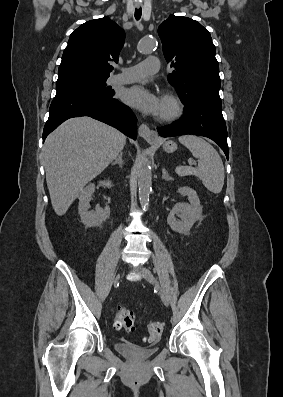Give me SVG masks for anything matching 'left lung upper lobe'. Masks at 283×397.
Segmentation results:
<instances>
[{"label": "left lung upper lobe", "instance_id": "5c2ea615", "mask_svg": "<svg viewBox=\"0 0 283 397\" xmlns=\"http://www.w3.org/2000/svg\"><path fill=\"white\" fill-rule=\"evenodd\" d=\"M165 59L174 69L168 81L185 106L205 103L222 108L219 64L211 35L200 23L170 15L158 28Z\"/></svg>", "mask_w": 283, "mask_h": 397}]
</instances>
